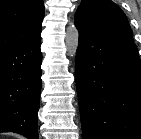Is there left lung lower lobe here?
Segmentation results:
<instances>
[{
    "mask_svg": "<svg viewBox=\"0 0 141 139\" xmlns=\"http://www.w3.org/2000/svg\"><path fill=\"white\" fill-rule=\"evenodd\" d=\"M76 26L82 139H141V67L135 43Z\"/></svg>",
    "mask_w": 141,
    "mask_h": 139,
    "instance_id": "left-lung-lower-lobe-1",
    "label": "left lung lower lobe"
}]
</instances>
